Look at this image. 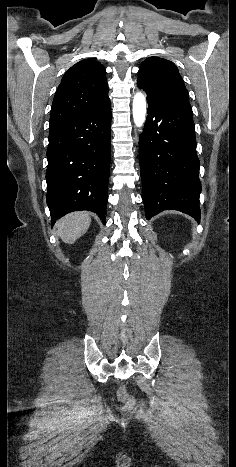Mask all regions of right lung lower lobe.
Segmentation results:
<instances>
[{
    "instance_id": "right-lung-lower-lobe-1",
    "label": "right lung lower lobe",
    "mask_w": 236,
    "mask_h": 467,
    "mask_svg": "<svg viewBox=\"0 0 236 467\" xmlns=\"http://www.w3.org/2000/svg\"><path fill=\"white\" fill-rule=\"evenodd\" d=\"M110 100L49 128L47 205L51 224L65 214L89 210L106 223L110 170Z\"/></svg>"
}]
</instances>
